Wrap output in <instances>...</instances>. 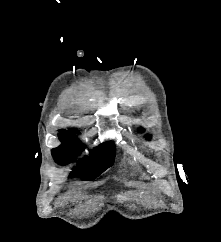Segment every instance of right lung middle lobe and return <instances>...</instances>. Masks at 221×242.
Returning a JSON list of instances; mask_svg holds the SVG:
<instances>
[{"label":"right lung middle lobe","instance_id":"right-lung-middle-lobe-1","mask_svg":"<svg viewBox=\"0 0 221 242\" xmlns=\"http://www.w3.org/2000/svg\"><path fill=\"white\" fill-rule=\"evenodd\" d=\"M62 145L52 150L54 160L65 165L75 160L76 156L85 146L74 135L59 134ZM115 158V145L105 142L91 150V156L81 160L71 175L82 174L84 180H94L107 168L113 165Z\"/></svg>","mask_w":221,"mask_h":242}]
</instances>
